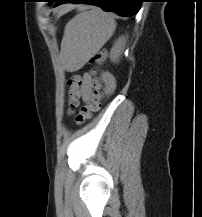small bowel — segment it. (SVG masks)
Returning a JSON list of instances; mask_svg holds the SVG:
<instances>
[{
	"label": "small bowel",
	"instance_id": "c3829d8e",
	"mask_svg": "<svg viewBox=\"0 0 202 217\" xmlns=\"http://www.w3.org/2000/svg\"><path fill=\"white\" fill-rule=\"evenodd\" d=\"M102 77L106 83L107 91L112 92L116 87L115 78L113 77L112 74L108 72H104ZM82 78H83L82 99L85 102H88L92 95V88H93L92 77L90 74L86 73L83 75Z\"/></svg>",
	"mask_w": 202,
	"mask_h": 217
}]
</instances>
